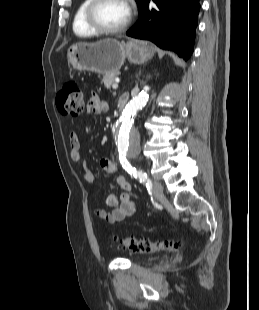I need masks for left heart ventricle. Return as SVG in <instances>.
<instances>
[{"instance_id":"left-heart-ventricle-1","label":"left heart ventricle","mask_w":259,"mask_h":310,"mask_svg":"<svg viewBox=\"0 0 259 310\" xmlns=\"http://www.w3.org/2000/svg\"><path fill=\"white\" fill-rule=\"evenodd\" d=\"M128 17L123 0H103L95 11V18L102 26L115 28L122 25Z\"/></svg>"}]
</instances>
